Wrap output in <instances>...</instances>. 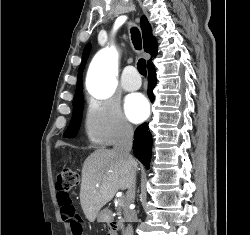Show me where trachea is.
Wrapping results in <instances>:
<instances>
[{
  "label": "trachea",
  "mask_w": 250,
  "mask_h": 235,
  "mask_svg": "<svg viewBox=\"0 0 250 235\" xmlns=\"http://www.w3.org/2000/svg\"><path fill=\"white\" fill-rule=\"evenodd\" d=\"M131 39H132L135 49L140 50L142 47V40H141L140 31L136 27L131 28ZM137 69L141 75L146 76L147 74L146 61L144 59H140L138 61Z\"/></svg>",
  "instance_id": "obj_1"
}]
</instances>
